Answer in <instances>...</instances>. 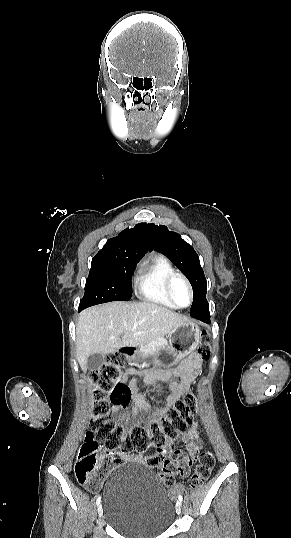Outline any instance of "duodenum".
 <instances>
[{
	"instance_id": "410a0bca",
	"label": "duodenum",
	"mask_w": 291,
	"mask_h": 538,
	"mask_svg": "<svg viewBox=\"0 0 291 538\" xmlns=\"http://www.w3.org/2000/svg\"><path fill=\"white\" fill-rule=\"evenodd\" d=\"M125 354H126L128 357L133 358V357H135V355H136V351H135L134 348H132V347H128V348L125 349Z\"/></svg>"
}]
</instances>
